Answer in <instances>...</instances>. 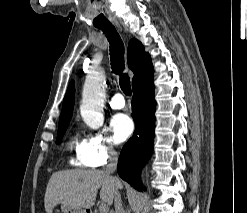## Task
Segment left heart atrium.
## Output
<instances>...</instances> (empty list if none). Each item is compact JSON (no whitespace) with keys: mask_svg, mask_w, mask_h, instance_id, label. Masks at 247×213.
I'll list each match as a JSON object with an SVG mask.
<instances>
[{"mask_svg":"<svg viewBox=\"0 0 247 213\" xmlns=\"http://www.w3.org/2000/svg\"><path fill=\"white\" fill-rule=\"evenodd\" d=\"M110 128L115 142L122 143L132 134L134 126L128 115L120 113L111 119Z\"/></svg>","mask_w":247,"mask_h":213,"instance_id":"left-heart-atrium-1","label":"left heart atrium"}]
</instances>
